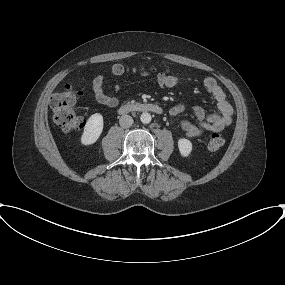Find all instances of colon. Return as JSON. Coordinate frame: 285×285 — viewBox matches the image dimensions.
<instances>
[{
	"instance_id": "colon-1",
	"label": "colon",
	"mask_w": 285,
	"mask_h": 285,
	"mask_svg": "<svg viewBox=\"0 0 285 285\" xmlns=\"http://www.w3.org/2000/svg\"><path fill=\"white\" fill-rule=\"evenodd\" d=\"M125 72L126 69L121 65H116L112 68L114 75H122ZM80 94L81 92L77 90L74 84H68L64 91L53 94L50 99L53 120L66 133L77 131L84 127V119L74 109ZM224 143V138L220 134L214 133L209 138L208 147L211 150H218Z\"/></svg>"
}]
</instances>
